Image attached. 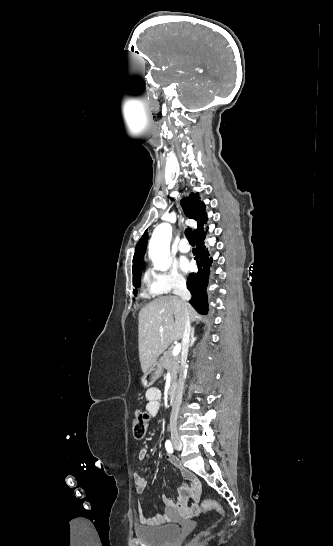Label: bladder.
<instances>
[{
	"instance_id": "1",
	"label": "bladder",
	"mask_w": 333,
	"mask_h": 546,
	"mask_svg": "<svg viewBox=\"0 0 333 546\" xmlns=\"http://www.w3.org/2000/svg\"><path fill=\"white\" fill-rule=\"evenodd\" d=\"M178 524L168 523L160 526H139L135 529L136 538L148 546H171L179 537Z\"/></svg>"
}]
</instances>
